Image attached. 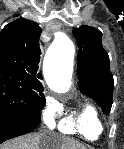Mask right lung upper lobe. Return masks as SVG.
Segmentation results:
<instances>
[{
    "instance_id": "cb5924a9",
    "label": "right lung upper lobe",
    "mask_w": 124,
    "mask_h": 149,
    "mask_svg": "<svg viewBox=\"0 0 124 149\" xmlns=\"http://www.w3.org/2000/svg\"><path fill=\"white\" fill-rule=\"evenodd\" d=\"M41 28L34 21L19 18L0 32V71L19 75L28 84L42 87L38 71Z\"/></svg>"
}]
</instances>
